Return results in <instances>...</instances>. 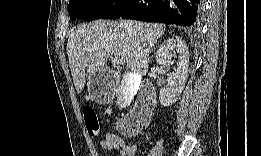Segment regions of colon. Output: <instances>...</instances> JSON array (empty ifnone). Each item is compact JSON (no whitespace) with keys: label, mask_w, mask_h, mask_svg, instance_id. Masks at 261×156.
<instances>
[{"label":"colon","mask_w":261,"mask_h":156,"mask_svg":"<svg viewBox=\"0 0 261 156\" xmlns=\"http://www.w3.org/2000/svg\"><path fill=\"white\" fill-rule=\"evenodd\" d=\"M83 118L85 121V124L87 126L89 134L96 138L99 135L100 127H99V121L97 118V115L95 111L90 107H85L82 111ZM146 121H141L136 123V128L132 129V131H140L145 127ZM122 128V125H120ZM125 132H128L127 129L123 128Z\"/></svg>","instance_id":"colon-1"}]
</instances>
